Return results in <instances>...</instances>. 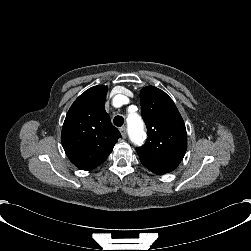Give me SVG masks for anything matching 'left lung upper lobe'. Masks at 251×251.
<instances>
[{
	"label": "left lung upper lobe",
	"mask_w": 251,
	"mask_h": 251,
	"mask_svg": "<svg viewBox=\"0 0 251 251\" xmlns=\"http://www.w3.org/2000/svg\"><path fill=\"white\" fill-rule=\"evenodd\" d=\"M140 104L148 135L145 145L136 148L140 161L157 172H171L187 149L184 121L172 99L154 86L141 90Z\"/></svg>",
	"instance_id": "5c2ea615"
}]
</instances>
